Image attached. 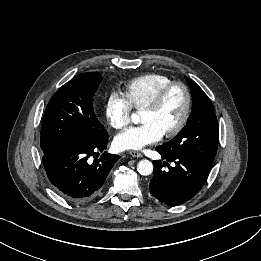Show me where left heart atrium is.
Returning a JSON list of instances; mask_svg holds the SVG:
<instances>
[{
    "label": "left heart atrium",
    "mask_w": 261,
    "mask_h": 261,
    "mask_svg": "<svg viewBox=\"0 0 261 261\" xmlns=\"http://www.w3.org/2000/svg\"><path fill=\"white\" fill-rule=\"evenodd\" d=\"M163 133L151 123L129 127L115 138V146L120 150H141L159 141Z\"/></svg>",
    "instance_id": "39dd6f15"
}]
</instances>
